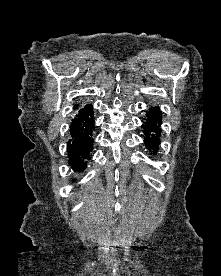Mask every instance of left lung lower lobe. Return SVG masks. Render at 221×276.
<instances>
[{
	"instance_id": "1",
	"label": "left lung lower lobe",
	"mask_w": 221,
	"mask_h": 276,
	"mask_svg": "<svg viewBox=\"0 0 221 276\" xmlns=\"http://www.w3.org/2000/svg\"><path fill=\"white\" fill-rule=\"evenodd\" d=\"M144 120L142 128L145 134V145L148 149L152 150L153 154H156L160 143V126L162 124L160 108L158 106L151 107Z\"/></svg>"
}]
</instances>
